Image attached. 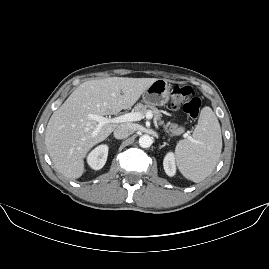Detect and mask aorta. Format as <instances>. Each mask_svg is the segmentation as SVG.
I'll return each mask as SVG.
<instances>
[{"label":"aorta","instance_id":"762f6f07","mask_svg":"<svg viewBox=\"0 0 269 269\" xmlns=\"http://www.w3.org/2000/svg\"><path fill=\"white\" fill-rule=\"evenodd\" d=\"M139 145L142 148H148L152 145V139L149 135L144 134L139 138Z\"/></svg>","mask_w":269,"mask_h":269}]
</instances>
